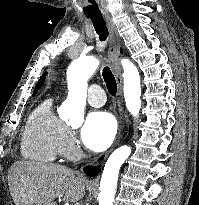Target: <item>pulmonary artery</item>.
<instances>
[{
    "instance_id": "1",
    "label": "pulmonary artery",
    "mask_w": 199,
    "mask_h": 205,
    "mask_svg": "<svg viewBox=\"0 0 199 205\" xmlns=\"http://www.w3.org/2000/svg\"><path fill=\"white\" fill-rule=\"evenodd\" d=\"M88 103L94 107H100L104 105L106 101V95L99 85H91L88 90L87 96Z\"/></svg>"
}]
</instances>
